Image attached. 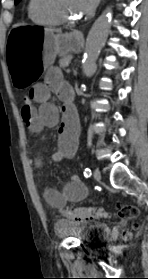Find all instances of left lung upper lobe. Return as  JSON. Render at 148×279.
Listing matches in <instances>:
<instances>
[{"label": "left lung upper lobe", "instance_id": "5c2ea615", "mask_svg": "<svg viewBox=\"0 0 148 279\" xmlns=\"http://www.w3.org/2000/svg\"><path fill=\"white\" fill-rule=\"evenodd\" d=\"M20 0H15V4H18Z\"/></svg>", "mask_w": 148, "mask_h": 279}]
</instances>
